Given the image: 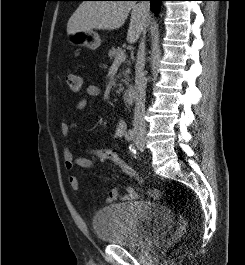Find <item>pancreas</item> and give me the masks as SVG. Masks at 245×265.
<instances>
[{
	"label": "pancreas",
	"mask_w": 245,
	"mask_h": 265,
	"mask_svg": "<svg viewBox=\"0 0 245 265\" xmlns=\"http://www.w3.org/2000/svg\"><path fill=\"white\" fill-rule=\"evenodd\" d=\"M125 51L122 49V48H120V47H118V48H114V47H112L110 50H109V52H108V56H109V58H110V60H113V59H115L119 54H121V53H124ZM130 74V69H126V71L124 72V80H122V82H124V83H127V81H128V75ZM120 87H119V92L120 91H122L123 90V87H122V84H120L119 85Z\"/></svg>",
	"instance_id": "cf45deb5"
}]
</instances>
